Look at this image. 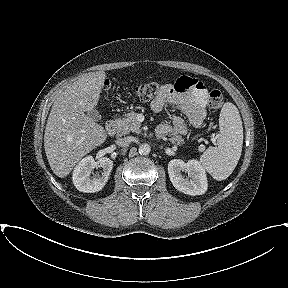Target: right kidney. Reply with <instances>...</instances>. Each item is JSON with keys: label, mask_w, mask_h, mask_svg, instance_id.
I'll list each match as a JSON object with an SVG mask.
<instances>
[{"label": "right kidney", "mask_w": 288, "mask_h": 288, "mask_svg": "<svg viewBox=\"0 0 288 288\" xmlns=\"http://www.w3.org/2000/svg\"><path fill=\"white\" fill-rule=\"evenodd\" d=\"M98 167L102 168V174L91 177L93 169ZM112 168L113 161L110 158L103 157L96 162L92 156H87L74 168L73 183L81 192H98L108 181Z\"/></svg>", "instance_id": "ca27d5eb"}]
</instances>
